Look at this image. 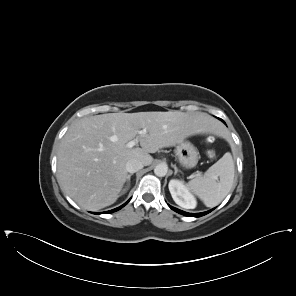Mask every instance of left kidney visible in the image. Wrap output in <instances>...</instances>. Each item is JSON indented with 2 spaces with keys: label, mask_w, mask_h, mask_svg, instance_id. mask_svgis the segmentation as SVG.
Returning a JSON list of instances; mask_svg holds the SVG:
<instances>
[{
  "label": "left kidney",
  "mask_w": 296,
  "mask_h": 296,
  "mask_svg": "<svg viewBox=\"0 0 296 296\" xmlns=\"http://www.w3.org/2000/svg\"><path fill=\"white\" fill-rule=\"evenodd\" d=\"M168 187L171 196L177 205L185 209H194L196 207V199L183 181L172 179L170 180Z\"/></svg>",
  "instance_id": "obj_1"
}]
</instances>
